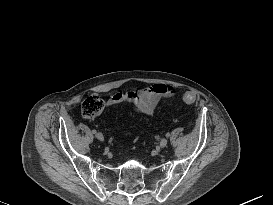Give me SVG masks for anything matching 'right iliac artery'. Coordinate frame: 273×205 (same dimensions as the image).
Wrapping results in <instances>:
<instances>
[{
    "mask_svg": "<svg viewBox=\"0 0 273 205\" xmlns=\"http://www.w3.org/2000/svg\"><path fill=\"white\" fill-rule=\"evenodd\" d=\"M92 133H93V134H95V133H96V130H95V129H94V130H92Z\"/></svg>",
    "mask_w": 273,
    "mask_h": 205,
    "instance_id": "82829eb1",
    "label": "right iliac artery"
}]
</instances>
